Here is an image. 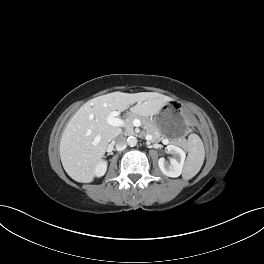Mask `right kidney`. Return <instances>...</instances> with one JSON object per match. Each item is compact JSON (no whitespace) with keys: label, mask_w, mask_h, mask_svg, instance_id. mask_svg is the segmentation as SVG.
Segmentation results:
<instances>
[{"label":"right kidney","mask_w":264,"mask_h":264,"mask_svg":"<svg viewBox=\"0 0 264 264\" xmlns=\"http://www.w3.org/2000/svg\"><path fill=\"white\" fill-rule=\"evenodd\" d=\"M107 170V162L101 161L97 166L95 167V175L97 177H101L106 173Z\"/></svg>","instance_id":"obj_1"}]
</instances>
